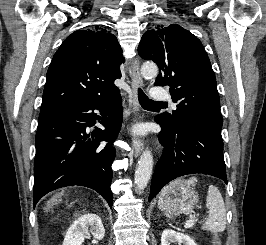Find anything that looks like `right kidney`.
<instances>
[{
	"mask_svg": "<svg viewBox=\"0 0 266 245\" xmlns=\"http://www.w3.org/2000/svg\"><path fill=\"white\" fill-rule=\"evenodd\" d=\"M93 235L94 239L102 241L105 235L103 223L98 215H82L69 227L64 239L65 245H82L86 235Z\"/></svg>",
	"mask_w": 266,
	"mask_h": 245,
	"instance_id": "1",
	"label": "right kidney"
}]
</instances>
